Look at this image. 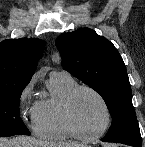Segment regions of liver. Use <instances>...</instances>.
I'll return each instance as SVG.
<instances>
[{
    "label": "liver",
    "instance_id": "6515ba94",
    "mask_svg": "<svg viewBox=\"0 0 145 147\" xmlns=\"http://www.w3.org/2000/svg\"><path fill=\"white\" fill-rule=\"evenodd\" d=\"M0 147H87L75 142H47L33 137L18 136L0 142Z\"/></svg>",
    "mask_w": 145,
    "mask_h": 147
}]
</instances>
